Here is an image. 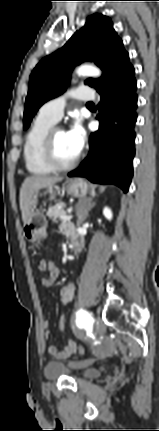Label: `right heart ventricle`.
Returning a JSON list of instances; mask_svg holds the SVG:
<instances>
[{
    "label": "right heart ventricle",
    "mask_w": 159,
    "mask_h": 431,
    "mask_svg": "<svg viewBox=\"0 0 159 431\" xmlns=\"http://www.w3.org/2000/svg\"><path fill=\"white\" fill-rule=\"evenodd\" d=\"M54 124L55 122L39 113L26 134L23 158L26 169L33 175L42 176L54 172L43 157L44 141Z\"/></svg>",
    "instance_id": "1"
}]
</instances>
